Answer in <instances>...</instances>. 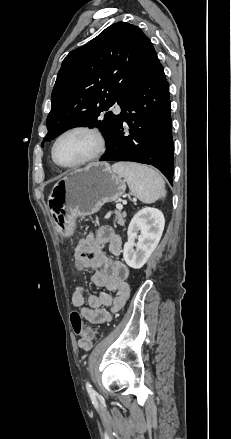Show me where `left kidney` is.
<instances>
[{
    "label": "left kidney",
    "mask_w": 231,
    "mask_h": 439,
    "mask_svg": "<svg viewBox=\"0 0 231 439\" xmlns=\"http://www.w3.org/2000/svg\"><path fill=\"white\" fill-rule=\"evenodd\" d=\"M164 225V215L156 208L146 207L134 215L128 226V240L123 249V258L129 267H143L157 247Z\"/></svg>",
    "instance_id": "left-kidney-1"
}]
</instances>
